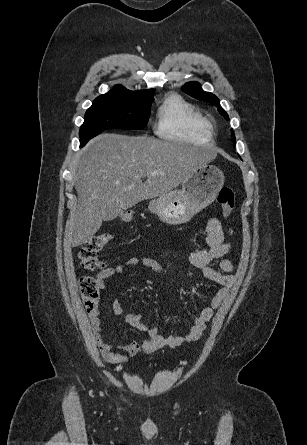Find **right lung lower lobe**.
Here are the masks:
<instances>
[{"label":"right lung lower lobe","mask_w":307,"mask_h":445,"mask_svg":"<svg viewBox=\"0 0 307 445\" xmlns=\"http://www.w3.org/2000/svg\"><path fill=\"white\" fill-rule=\"evenodd\" d=\"M84 145H85V144L81 142V145H80V146L83 147Z\"/></svg>","instance_id":"98d812e1"}]
</instances>
